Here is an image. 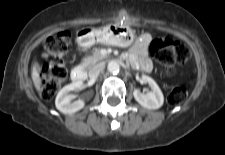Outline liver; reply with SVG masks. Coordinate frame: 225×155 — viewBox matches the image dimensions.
<instances>
[{
    "mask_svg": "<svg viewBox=\"0 0 225 155\" xmlns=\"http://www.w3.org/2000/svg\"><path fill=\"white\" fill-rule=\"evenodd\" d=\"M32 80L34 83L35 88L40 91L41 90V79L39 75V70L36 64L33 65L32 68Z\"/></svg>",
    "mask_w": 225,
    "mask_h": 155,
    "instance_id": "6515ba94",
    "label": "liver"
}]
</instances>
